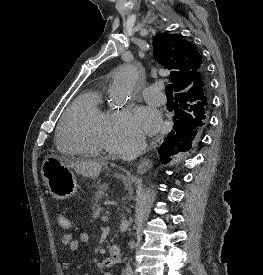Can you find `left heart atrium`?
I'll return each mask as SVG.
<instances>
[{
  "label": "left heart atrium",
  "mask_w": 263,
  "mask_h": 275,
  "mask_svg": "<svg viewBox=\"0 0 263 275\" xmlns=\"http://www.w3.org/2000/svg\"><path fill=\"white\" fill-rule=\"evenodd\" d=\"M135 125L140 131L153 134L159 130L161 119L155 109L148 106L140 107L135 112Z\"/></svg>",
  "instance_id": "obj_1"
}]
</instances>
